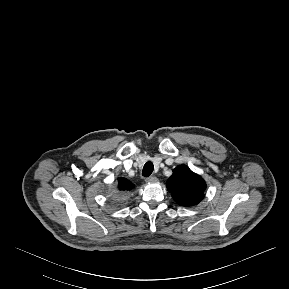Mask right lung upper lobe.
<instances>
[{"label": "right lung upper lobe", "instance_id": "cb5924a9", "mask_svg": "<svg viewBox=\"0 0 289 289\" xmlns=\"http://www.w3.org/2000/svg\"><path fill=\"white\" fill-rule=\"evenodd\" d=\"M118 186L120 190H131L134 186L131 181L127 180L126 178H119L118 179Z\"/></svg>", "mask_w": 289, "mask_h": 289}]
</instances>
